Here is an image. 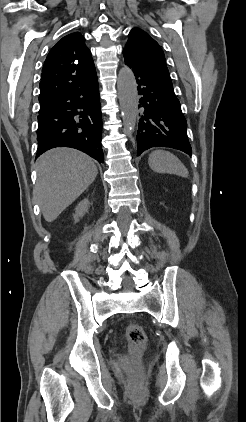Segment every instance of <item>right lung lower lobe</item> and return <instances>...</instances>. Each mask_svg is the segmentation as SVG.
I'll return each instance as SVG.
<instances>
[{
	"mask_svg": "<svg viewBox=\"0 0 246 422\" xmlns=\"http://www.w3.org/2000/svg\"><path fill=\"white\" fill-rule=\"evenodd\" d=\"M102 115L97 76L78 88L41 104L37 157L55 147H72L104 163Z\"/></svg>",
	"mask_w": 246,
	"mask_h": 422,
	"instance_id": "right-lung-lower-lobe-1",
	"label": "right lung lower lobe"
}]
</instances>
